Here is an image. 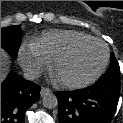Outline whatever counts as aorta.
<instances>
[{"label": "aorta", "mask_w": 123, "mask_h": 123, "mask_svg": "<svg viewBox=\"0 0 123 123\" xmlns=\"http://www.w3.org/2000/svg\"><path fill=\"white\" fill-rule=\"evenodd\" d=\"M42 103H43V106L45 108H47V109H53V108H56L57 107L58 100H57V97L53 93L46 92L43 95Z\"/></svg>", "instance_id": "obj_1"}]
</instances>
